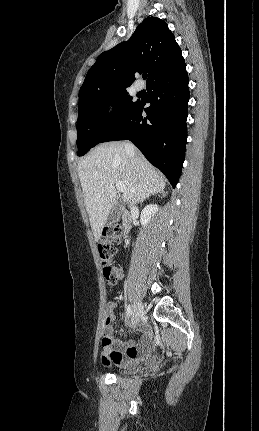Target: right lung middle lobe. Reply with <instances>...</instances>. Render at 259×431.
<instances>
[{"label":"right lung middle lobe","instance_id":"dd1d6c3e","mask_svg":"<svg viewBox=\"0 0 259 431\" xmlns=\"http://www.w3.org/2000/svg\"><path fill=\"white\" fill-rule=\"evenodd\" d=\"M138 103L126 89L92 94L78 104L77 146L78 156H83L92 147L103 142L108 134L130 113ZM112 105L114 110L106 115L104 106Z\"/></svg>","mask_w":259,"mask_h":431}]
</instances>
